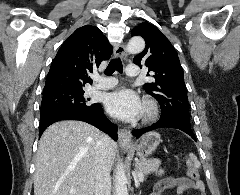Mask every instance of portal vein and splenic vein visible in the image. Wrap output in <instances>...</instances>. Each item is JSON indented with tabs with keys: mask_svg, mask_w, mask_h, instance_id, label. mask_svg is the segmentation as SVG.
<instances>
[{
	"mask_svg": "<svg viewBox=\"0 0 240 195\" xmlns=\"http://www.w3.org/2000/svg\"><path fill=\"white\" fill-rule=\"evenodd\" d=\"M133 175H135V171H134ZM135 181L143 182L144 181V173H137ZM69 193H75V189H70Z\"/></svg>",
	"mask_w": 240,
	"mask_h": 195,
	"instance_id": "18ae733b",
	"label": "portal vein and splenic vein"
}]
</instances>
